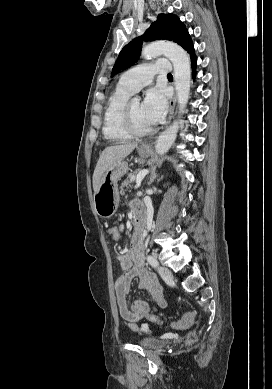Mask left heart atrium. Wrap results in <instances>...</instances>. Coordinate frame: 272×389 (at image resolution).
Here are the masks:
<instances>
[{"label":"left heart atrium","mask_w":272,"mask_h":389,"mask_svg":"<svg viewBox=\"0 0 272 389\" xmlns=\"http://www.w3.org/2000/svg\"><path fill=\"white\" fill-rule=\"evenodd\" d=\"M142 110L151 125L159 122L167 110V100L164 90L159 87L148 90L142 102Z\"/></svg>","instance_id":"1"}]
</instances>
